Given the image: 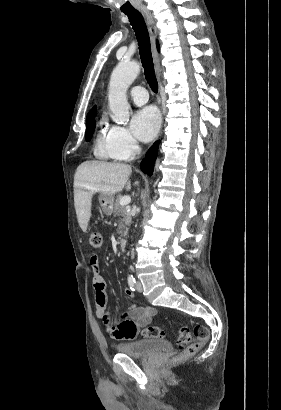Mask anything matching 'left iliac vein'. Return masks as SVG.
Wrapping results in <instances>:
<instances>
[{
    "instance_id": "1",
    "label": "left iliac vein",
    "mask_w": 281,
    "mask_h": 410,
    "mask_svg": "<svg viewBox=\"0 0 281 410\" xmlns=\"http://www.w3.org/2000/svg\"><path fill=\"white\" fill-rule=\"evenodd\" d=\"M136 289H137L138 292H142L143 288H142V284H141L140 281L137 282Z\"/></svg>"
}]
</instances>
